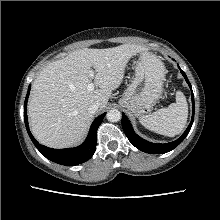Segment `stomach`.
Instances as JSON below:
<instances>
[{
    "instance_id": "obj_1",
    "label": "stomach",
    "mask_w": 220,
    "mask_h": 220,
    "mask_svg": "<svg viewBox=\"0 0 220 220\" xmlns=\"http://www.w3.org/2000/svg\"><path fill=\"white\" fill-rule=\"evenodd\" d=\"M165 67L152 53L142 52L135 65V76L119 100L135 117L147 114L162 96Z\"/></svg>"
}]
</instances>
